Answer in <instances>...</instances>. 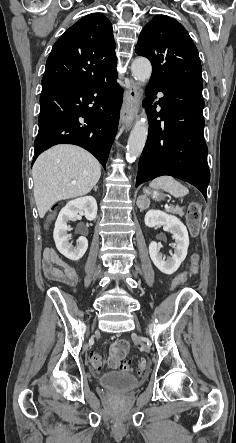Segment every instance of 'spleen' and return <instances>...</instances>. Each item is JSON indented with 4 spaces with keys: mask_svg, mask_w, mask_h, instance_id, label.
I'll list each match as a JSON object with an SVG mask.
<instances>
[{
    "mask_svg": "<svg viewBox=\"0 0 236 443\" xmlns=\"http://www.w3.org/2000/svg\"><path fill=\"white\" fill-rule=\"evenodd\" d=\"M149 186L155 189H163L164 191L170 193L176 198L184 197L189 193L187 187L182 185L180 182H178L171 176L158 177L154 179Z\"/></svg>",
    "mask_w": 236,
    "mask_h": 443,
    "instance_id": "1",
    "label": "spleen"
}]
</instances>
